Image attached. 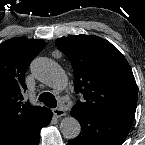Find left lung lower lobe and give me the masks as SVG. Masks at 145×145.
<instances>
[{
	"label": "left lung lower lobe",
	"mask_w": 145,
	"mask_h": 145,
	"mask_svg": "<svg viewBox=\"0 0 145 145\" xmlns=\"http://www.w3.org/2000/svg\"><path fill=\"white\" fill-rule=\"evenodd\" d=\"M82 132L68 145H122L134 121V116L121 114H93L71 110Z\"/></svg>",
	"instance_id": "0a47b994"
}]
</instances>
